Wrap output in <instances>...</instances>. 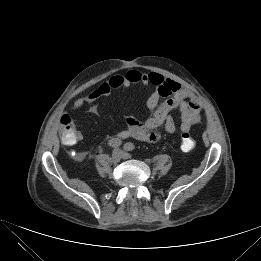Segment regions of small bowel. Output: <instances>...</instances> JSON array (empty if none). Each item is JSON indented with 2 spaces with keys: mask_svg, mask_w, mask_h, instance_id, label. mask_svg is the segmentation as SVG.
Listing matches in <instances>:
<instances>
[{
  "mask_svg": "<svg viewBox=\"0 0 261 261\" xmlns=\"http://www.w3.org/2000/svg\"><path fill=\"white\" fill-rule=\"evenodd\" d=\"M135 84L154 86V91L147 99V107L153 113L144 122L128 117L127 128L116 134L118 139L134 138L144 142H156L161 137L158 131L161 126H164L166 132L174 133L177 130V123L170 114L173 110L178 112L179 127L183 133L189 132L193 125L200 121L202 105L191 91L157 72L144 73L135 69L113 75L83 97L75 99L73 109H80L85 104L108 96L116 89L129 88ZM81 139L82 134L76 131L74 142L67 145H73Z\"/></svg>",
  "mask_w": 261,
  "mask_h": 261,
  "instance_id": "obj_1",
  "label": "small bowel"
}]
</instances>
